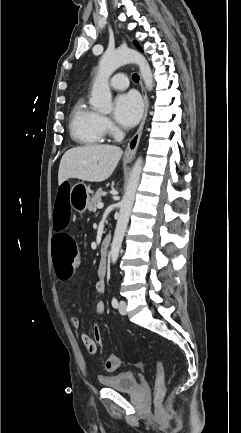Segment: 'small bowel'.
I'll use <instances>...</instances> for the list:
<instances>
[{
  "label": "small bowel",
  "mask_w": 241,
  "mask_h": 433,
  "mask_svg": "<svg viewBox=\"0 0 241 433\" xmlns=\"http://www.w3.org/2000/svg\"><path fill=\"white\" fill-rule=\"evenodd\" d=\"M105 274H106V264L104 262H100L98 266L99 279L95 284V290L99 295H103L106 291V282L104 279ZM95 310L98 314H103L105 312V303L103 300H99L96 303ZM70 321L74 328L78 329L80 327V319L78 317L75 316L71 317ZM81 340L89 353L95 354L98 351L97 347L95 346L93 338L88 334L83 333L81 335ZM88 343H92L94 347H89Z\"/></svg>",
  "instance_id": "1"
}]
</instances>
